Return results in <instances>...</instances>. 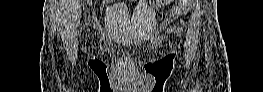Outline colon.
I'll list each match as a JSON object with an SVG mask.
<instances>
[{"label":"colon","instance_id":"colon-1","mask_svg":"<svg viewBox=\"0 0 263 92\" xmlns=\"http://www.w3.org/2000/svg\"><path fill=\"white\" fill-rule=\"evenodd\" d=\"M152 2H158V3H160V2H166V1H152Z\"/></svg>","mask_w":263,"mask_h":92}]
</instances>
